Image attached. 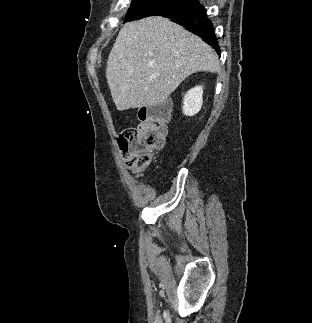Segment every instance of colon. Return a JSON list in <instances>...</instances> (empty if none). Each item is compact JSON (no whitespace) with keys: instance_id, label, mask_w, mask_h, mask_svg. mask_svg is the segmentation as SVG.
<instances>
[{"instance_id":"obj_1","label":"colon","mask_w":312,"mask_h":323,"mask_svg":"<svg viewBox=\"0 0 312 323\" xmlns=\"http://www.w3.org/2000/svg\"><path fill=\"white\" fill-rule=\"evenodd\" d=\"M123 139L117 141L118 158H131L126 161V168L132 172H141L148 168L154 154L166 140L164 115L157 109L149 111L148 117L137 126H129L123 131Z\"/></svg>"}]
</instances>
